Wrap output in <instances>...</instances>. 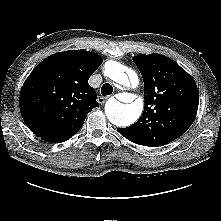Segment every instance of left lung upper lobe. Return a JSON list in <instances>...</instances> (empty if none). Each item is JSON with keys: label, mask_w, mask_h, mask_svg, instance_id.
Segmentation results:
<instances>
[{"label": "left lung upper lobe", "mask_w": 221, "mask_h": 221, "mask_svg": "<svg viewBox=\"0 0 221 221\" xmlns=\"http://www.w3.org/2000/svg\"><path fill=\"white\" fill-rule=\"evenodd\" d=\"M133 61L144 81L145 111L123 128L133 143L157 147L183 135L195 120L199 92L194 79L161 54L137 55Z\"/></svg>", "instance_id": "obj_1"}]
</instances>
